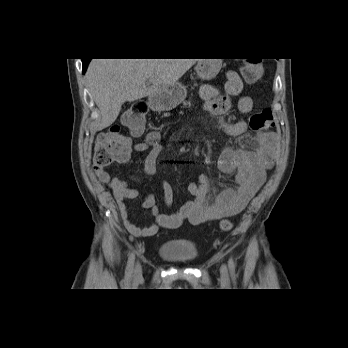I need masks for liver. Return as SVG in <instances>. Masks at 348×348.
Returning <instances> with one entry per match:
<instances>
[{"label": "liver", "instance_id": "6515ba94", "mask_svg": "<svg viewBox=\"0 0 348 348\" xmlns=\"http://www.w3.org/2000/svg\"><path fill=\"white\" fill-rule=\"evenodd\" d=\"M199 59H93L86 72L89 90L99 108V130L117 119L121 106L159 93L177 81ZM154 81L150 86L146 82Z\"/></svg>", "mask_w": 348, "mask_h": 348}]
</instances>
